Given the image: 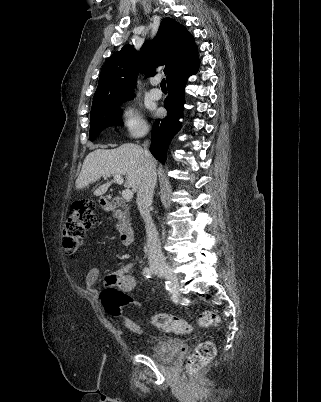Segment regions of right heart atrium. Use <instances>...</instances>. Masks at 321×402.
Here are the masks:
<instances>
[{"label": "right heart atrium", "instance_id": "d8ad5b80", "mask_svg": "<svg viewBox=\"0 0 321 402\" xmlns=\"http://www.w3.org/2000/svg\"><path fill=\"white\" fill-rule=\"evenodd\" d=\"M120 120L126 132L131 137H141L148 130L146 122L134 107H125L120 113Z\"/></svg>", "mask_w": 321, "mask_h": 402}]
</instances>
